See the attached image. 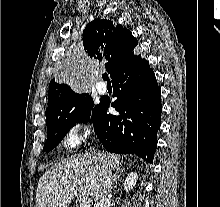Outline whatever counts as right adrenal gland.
<instances>
[{
    "instance_id": "2a0ac1e0",
    "label": "right adrenal gland",
    "mask_w": 220,
    "mask_h": 207,
    "mask_svg": "<svg viewBox=\"0 0 220 207\" xmlns=\"http://www.w3.org/2000/svg\"><path fill=\"white\" fill-rule=\"evenodd\" d=\"M123 171L124 170H116V172L113 174L114 187H117L118 180L120 179Z\"/></svg>"
}]
</instances>
